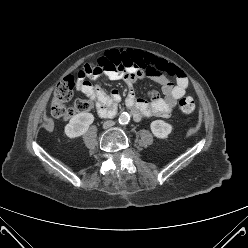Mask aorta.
<instances>
[{"mask_svg": "<svg viewBox=\"0 0 248 248\" xmlns=\"http://www.w3.org/2000/svg\"><path fill=\"white\" fill-rule=\"evenodd\" d=\"M129 120H130V116L128 113L123 112L120 114V116H119V123L120 124H123V125L127 124L129 122Z\"/></svg>", "mask_w": 248, "mask_h": 248, "instance_id": "762f6f07", "label": "aorta"}]
</instances>
